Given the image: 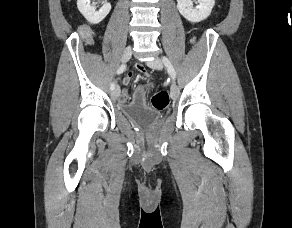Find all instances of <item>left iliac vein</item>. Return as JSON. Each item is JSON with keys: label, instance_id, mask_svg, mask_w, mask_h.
Masks as SVG:
<instances>
[{"label": "left iliac vein", "instance_id": "obj_1", "mask_svg": "<svg viewBox=\"0 0 292 228\" xmlns=\"http://www.w3.org/2000/svg\"><path fill=\"white\" fill-rule=\"evenodd\" d=\"M146 64L153 69L160 70L163 67V63L160 58L156 57L151 61L146 62ZM170 96L173 100H176L179 96V88L176 84H172L170 87Z\"/></svg>", "mask_w": 292, "mask_h": 228}]
</instances>
